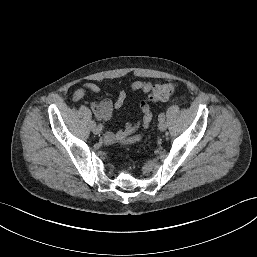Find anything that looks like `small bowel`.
Listing matches in <instances>:
<instances>
[{
  "instance_id": "1",
  "label": "small bowel",
  "mask_w": 257,
  "mask_h": 257,
  "mask_svg": "<svg viewBox=\"0 0 257 257\" xmlns=\"http://www.w3.org/2000/svg\"><path fill=\"white\" fill-rule=\"evenodd\" d=\"M152 89L153 83L145 80H137L130 86V90L134 92L139 91L148 93ZM88 92L99 93L101 92V87L95 82H86L73 93L72 101H80ZM126 97V92L121 90L117 95L115 103L109 98H106L100 103H92L91 109L99 120L108 122L112 117L113 109H120L123 106ZM139 109L141 116L136 122L128 123L123 129L117 132L105 133L104 141L106 144H132L138 142L142 138V134L138 133V131L140 129L145 130L148 128L152 119V113L149 105L144 101L140 103Z\"/></svg>"
}]
</instances>
